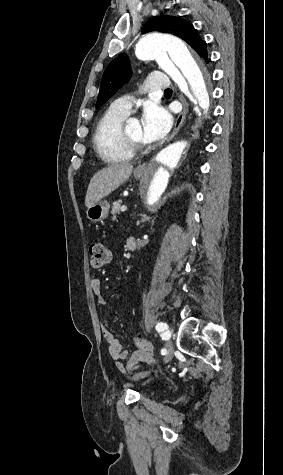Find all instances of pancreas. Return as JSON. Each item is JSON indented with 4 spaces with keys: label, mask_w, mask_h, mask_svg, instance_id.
Instances as JSON below:
<instances>
[{
    "label": "pancreas",
    "mask_w": 283,
    "mask_h": 475,
    "mask_svg": "<svg viewBox=\"0 0 283 475\" xmlns=\"http://www.w3.org/2000/svg\"><path fill=\"white\" fill-rule=\"evenodd\" d=\"M121 204H122V200H118V202H114L112 206V210H111L112 220H116L115 214H117V212H120Z\"/></svg>",
    "instance_id": "pancreas-1"
}]
</instances>
